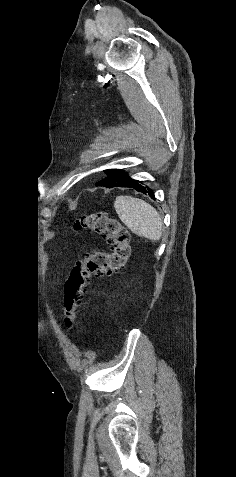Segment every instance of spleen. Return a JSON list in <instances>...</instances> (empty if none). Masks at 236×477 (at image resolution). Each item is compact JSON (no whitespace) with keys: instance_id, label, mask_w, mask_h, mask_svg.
<instances>
[{"instance_id":"obj_1","label":"spleen","mask_w":236,"mask_h":477,"mask_svg":"<svg viewBox=\"0 0 236 477\" xmlns=\"http://www.w3.org/2000/svg\"><path fill=\"white\" fill-rule=\"evenodd\" d=\"M114 207L120 220L134 234L153 241L160 240L162 220L149 203L131 196H117Z\"/></svg>"}]
</instances>
